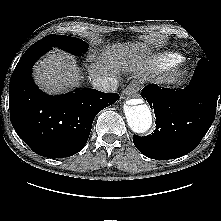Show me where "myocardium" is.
<instances>
[{
    "instance_id": "f54148a6",
    "label": "myocardium",
    "mask_w": 221,
    "mask_h": 221,
    "mask_svg": "<svg viewBox=\"0 0 221 221\" xmlns=\"http://www.w3.org/2000/svg\"><path fill=\"white\" fill-rule=\"evenodd\" d=\"M186 74V70L185 69H178L176 70L173 75H172V78L173 79H182Z\"/></svg>"
}]
</instances>
